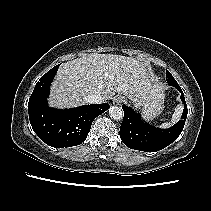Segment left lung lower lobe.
I'll use <instances>...</instances> for the list:
<instances>
[{
  "label": "left lung lower lobe",
  "instance_id": "obj_1",
  "mask_svg": "<svg viewBox=\"0 0 211 211\" xmlns=\"http://www.w3.org/2000/svg\"><path fill=\"white\" fill-rule=\"evenodd\" d=\"M174 87L181 93L184 110L181 120L168 129H159L148 125L132 108L126 105L122 106L124 117L120 127V137L127 147L145 152H156L167 147L179 137L187 118V105L184 93L178 83Z\"/></svg>",
  "mask_w": 211,
  "mask_h": 211
}]
</instances>
